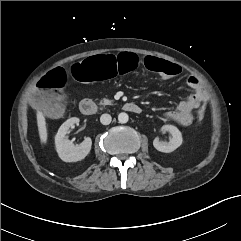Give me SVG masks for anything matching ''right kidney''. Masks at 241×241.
<instances>
[{"instance_id":"right-kidney-1","label":"right kidney","mask_w":241,"mask_h":241,"mask_svg":"<svg viewBox=\"0 0 241 241\" xmlns=\"http://www.w3.org/2000/svg\"><path fill=\"white\" fill-rule=\"evenodd\" d=\"M78 122L79 119L76 117L68 119L61 125L55 136L56 151L61 160L64 162L81 161L89 154L91 150V138H85V140L79 145H74V143L66 136L69 129Z\"/></svg>"}]
</instances>
